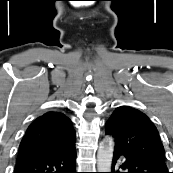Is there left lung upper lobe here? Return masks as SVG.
Returning a JSON list of instances; mask_svg holds the SVG:
<instances>
[{
	"instance_id": "obj_1",
	"label": "left lung upper lobe",
	"mask_w": 173,
	"mask_h": 173,
	"mask_svg": "<svg viewBox=\"0 0 173 173\" xmlns=\"http://www.w3.org/2000/svg\"><path fill=\"white\" fill-rule=\"evenodd\" d=\"M106 134L115 139V150L166 166L158 130L147 115L129 106L115 109L106 122Z\"/></svg>"
}]
</instances>
